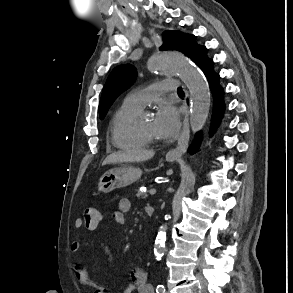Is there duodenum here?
I'll list each match as a JSON object with an SVG mask.
<instances>
[{"label": "duodenum", "mask_w": 293, "mask_h": 293, "mask_svg": "<svg viewBox=\"0 0 293 293\" xmlns=\"http://www.w3.org/2000/svg\"><path fill=\"white\" fill-rule=\"evenodd\" d=\"M145 212H146L147 216H149V217L153 216V214H154L153 206H146Z\"/></svg>", "instance_id": "410a0bca"}]
</instances>
